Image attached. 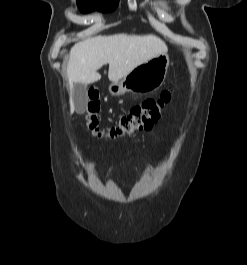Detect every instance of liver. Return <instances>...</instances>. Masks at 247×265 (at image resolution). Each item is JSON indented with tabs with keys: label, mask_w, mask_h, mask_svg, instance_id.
I'll return each mask as SVG.
<instances>
[{
	"label": "liver",
	"mask_w": 247,
	"mask_h": 265,
	"mask_svg": "<svg viewBox=\"0 0 247 265\" xmlns=\"http://www.w3.org/2000/svg\"><path fill=\"white\" fill-rule=\"evenodd\" d=\"M167 50L164 41L152 34L96 36L76 43L67 65L71 108L74 84L99 81L101 75L97 70L103 65H109V80L118 82L137 66Z\"/></svg>",
	"instance_id": "obj_1"
}]
</instances>
